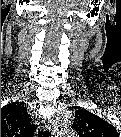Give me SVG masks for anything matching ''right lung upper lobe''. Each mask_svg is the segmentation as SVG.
I'll return each mask as SVG.
<instances>
[{
    "label": "right lung upper lobe",
    "mask_w": 121,
    "mask_h": 137,
    "mask_svg": "<svg viewBox=\"0 0 121 137\" xmlns=\"http://www.w3.org/2000/svg\"><path fill=\"white\" fill-rule=\"evenodd\" d=\"M33 130L26 107L11 103L1 108V136L30 135Z\"/></svg>",
    "instance_id": "obj_1"
}]
</instances>
